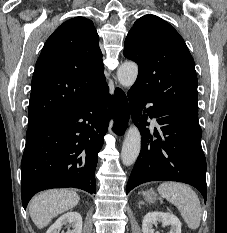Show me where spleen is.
<instances>
[{"instance_id":"spleen-1","label":"spleen","mask_w":227,"mask_h":233,"mask_svg":"<svg viewBox=\"0 0 227 233\" xmlns=\"http://www.w3.org/2000/svg\"><path fill=\"white\" fill-rule=\"evenodd\" d=\"M158 192L178 208L190 229L196 230L199 227L202 209L197 194L190 186L178 182H164L158 187Z\"/></svg>"}]
</instances>
